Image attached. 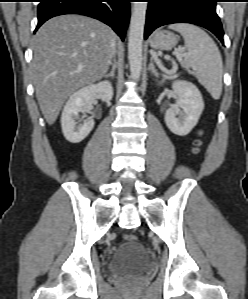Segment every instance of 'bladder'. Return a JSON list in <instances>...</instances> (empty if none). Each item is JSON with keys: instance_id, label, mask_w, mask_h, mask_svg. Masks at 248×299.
<instances>
[{"instance_id": "bladder-1", "label": "bladder", "mask_w": 248, "mask_h": 299, "mask_svg": "<svg viewBox=\"0 0 248 299\" xmlns=\"http://www.w3.org/2000/svg\"><path fill=\"white\" fill-rule=\"evenodd\" d=\"M149 258L138 242L121 245L109 259L107 269L110 274H141L149 268Z\"/></svg>"}]
</instances>
